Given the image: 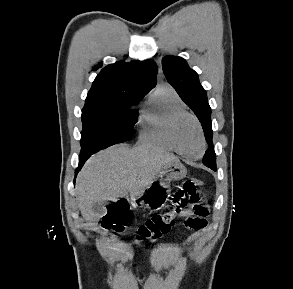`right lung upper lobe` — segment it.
Here are the masks:
<instances>
[{
	"label": "right lung upper lobe",
	"instance_id": "1",
	"mask_svg": "<svg viewBox=\"0 0 293 289\" xmlns=\"http://www.w3.org/2000/svg\"><path fill=\"white\" fill-rule=\"evenodd\" d=\"M158 68L153 60L117 62L103 68L88 93L86 104L143 98L155 87Z\"/></svg>",
	"mask_w": 293,
	"mask_h": 289
}]
</instances>
